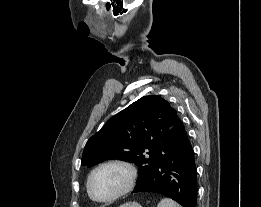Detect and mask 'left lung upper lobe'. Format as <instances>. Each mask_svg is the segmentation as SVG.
Returning a JSON list of instances; mask_svg holds the SVG:
<instances>
[{
  "label": "left lung upper lobe",
  "mask_w": 261,
  "mask_h": 207,
  "mask_svg": "<svg viewBox=\"0 0 261 207\" xmlns=\"http://www.w3.org/2000/svg\"><path fill=\"white\" fill-rule=\"evenodd\" d=\"M184 126L168 101L157 95L140 98L110 120L87 141L83 166L107 159L133 162L144 179L179 143Z\"/></svg>",
  "instance_id": "1"
}]
</instances>
